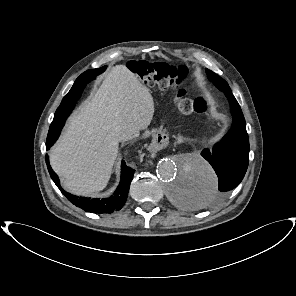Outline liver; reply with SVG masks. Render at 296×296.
Instances as JSON below:
<instances>
[{"label": "liver", "instance_id": "6515ba94", "mask_svg": "<svg viewBox=\"0 0 296 296\" xmlns=\"http://www.w3.org/2000/svg\"><path fill=\"white\" fill-rule=\"evenodd\" d=\"M154 101L138 75L124 65L113 67L100 88L74 114L50 162L63 186L74 194L103 190L118 153L119 136L146 129L154 115Z\"/></svg>", "mask_w": 296, "mask_h": 296}]
</instances>
